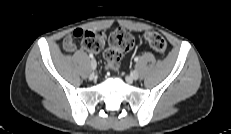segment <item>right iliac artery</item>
Here are the masks:
<instances>
[{
    "instance_id": "82829eb1",
    "label": "right iliac artery",
    "mask_w": 231,
    "mask_h": 134,
    "mask_svg": "<svg viewBox=\"0 0 231 134\" xmlns=\"http://www.w3.org/2000/svg\"><path fill=\"white\" fill-rule=\"evenodd\" d=\"M89 57L92 58V59L94 58L92 53L89 54Z\"/></svg>"
}]
</instances>
